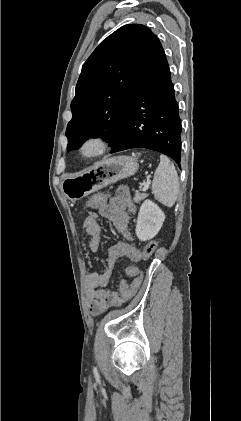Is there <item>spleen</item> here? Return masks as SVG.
Returning <instances> with one entry per match:
<instances>
[{
    "instance_id": "spleen-1",
    "label": "spleen",
    "mask_w": 241,
    "mask_h": 421,
    "mask_svg": "<svg viewBox=\"0 0 241 421\" xmlns=\"http://www.w3.org/2000/svg\"><path fill=\"white\" fill-rule=\"evenodd\" d=\"M152 193L163 205L172 207L179 193V178L174 165L165 155H160V163L152 182Z\"/></svg>"
}]
</instances>
